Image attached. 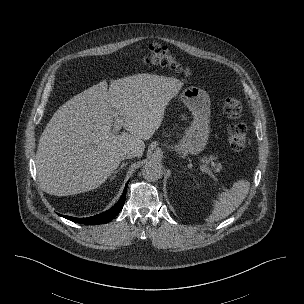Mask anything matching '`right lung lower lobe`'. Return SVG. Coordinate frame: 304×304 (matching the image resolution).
Returning <instances> with one entry per match:
<instances>
[{"label":"right lung lower lobe","mask_w":304,"mask_h":304,"mask_svg":"<svg viewBox=\"0 0 304 304\" xmlns=\"http://www.w3.org/2000/svg\"><path fill=\"white\" fill-rule=\"evenodd\" d=\"M126 190L127 185L123 191V194L119 201L109 210L100 213L98 215L87 217V218H76V217H69L65 215H60L70 221L76 222V223H82V224H89V225H97V224H105L110 222L113 218H115L120 210L123 208L125 197H126Z\"/></svg>","instance_id":"right-lung-lower-lobe-1"}]
</instances>
